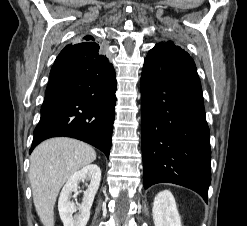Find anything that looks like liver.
Wrapping results in <instances>:
<instances>
[{"instance_id":"obj_1","label":"liver","mask_w":247,"mask_h":226,"mask_svg":"<svg viewBox=\"0 0 247 226\" xmlns=\"http://www.w3.org/2000/svg\"><path fill=\"white\" fill-rule=\"evenodd\" d=\"M95 159L90 145L66 137L46 140L34 149L29 178L33 202L44 226H54V206L63 184Z\"/></svg>"}]
</instances>
